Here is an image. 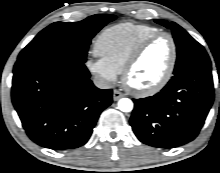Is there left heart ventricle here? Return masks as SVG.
<instances>
[{
	"label": "left heart ventricle",
	"instance_id": "b2bd125f",
	"mask_svg": "<svg viewBox=\"0 0 220 173\" xmlns=\"http://www.w3.org/2000/svg\"><path fill=\"white\" fill-rule=\"evenodd\" d=\"M171 59V44L167 37L152 42L129 74L131 86L144 89L158 82L166 72Z\"/></svg>",
	"mask_w": 220,
	"mask_h": 173
}]
</instances>
